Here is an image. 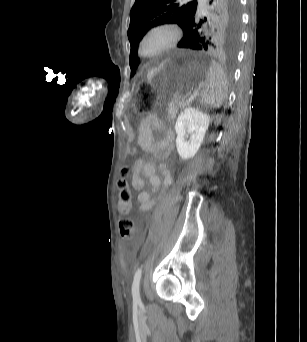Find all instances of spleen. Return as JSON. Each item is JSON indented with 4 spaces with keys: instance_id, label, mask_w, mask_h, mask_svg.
Masks as SVG:
<instances>
[{
    "instance_id": "3e777b00",
    "label": "spleen",
    "mask_w": 307,
    "mask_h": 342,
    "mask_svg": "<svg viewBox=\"0 0 307 342\" xmlns=\"http://www.w3.org/2000/svg\"><path fill=\"white\" fill-rule=\"evenodd\" d=\"M213 64L209 66L203 92L200 93V100L203 104H209L212 108H220L227 96L226 76L216 62L215 58L210 60Z\"/></svg>"
}]
</instances>
